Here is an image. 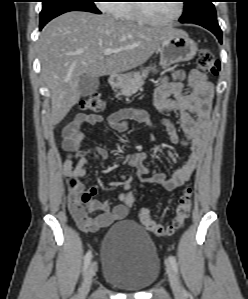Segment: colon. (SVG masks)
Segmentation results:
<instances>
[{
	"label": "colon",
	"instance_id": "5ec220e1",
	"mask_svg": "<svg viewBox=\"0 0 248 299\" xmlns=\"http://www.w3.org/2000/svg\"><path fill=\"white\" fill-rule=\"evenodd\" d=\"M197 67L200 71L212 75H218L220 63L215 54L209 49H201L197 59ZM81 108L90 113H99L104 109V101L98 92L90 93L82 102ZM84 185L78 180H73L69 185L68 208L70 213L78 218H83L89 211L87 197L83 193ZM193 191L186 188L180 197L172 221L165 225L153 220L147 208L139 212V221L143 227L158 236H172L182 229L185 220L192 209ZM127 207L132 206L133 198L127 196L124 201Z\"/></svg>",
	"mask_w": 248,
	"mask_h": 299
}]
</instances>
